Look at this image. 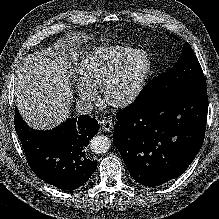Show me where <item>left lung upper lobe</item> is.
Wrapping results in <instances>:
<instances>
[{
  "label": "left lung upper lobe",
  "mask_w": 219,
  "mask_h": 219,
  "mask_svg": "<svg viewBox=\"0 0 219 219\" xmlns=\"http://www.w3.org/2000/svg\"><path fill=\"white\" fill-rule=\"evenodd\" d=\"M196 88H206L200 63L186 42L176 65L144 87L134 103L152 105L173 94Z\"/></svg>",
  "instance_id": "obj_1"
}]
</instances>
